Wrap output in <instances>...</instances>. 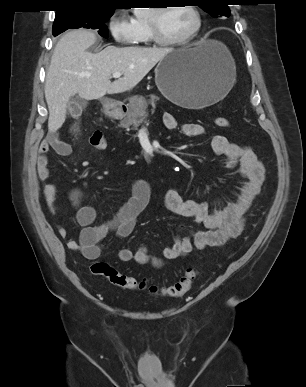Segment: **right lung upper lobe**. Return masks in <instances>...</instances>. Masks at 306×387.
Wrapping results in <instances>:
<instances>
[{
	"instance_id": "1",
	"label": "right lung upper lobe",
	"mask_w": 306,
	"mask_h": 387,
	"mask_svg": "<svg viewBox=\"0 0 306 387\" xmlns=\"http://www.w3.org/2000/svg\"><path fill=\"white\" fill-rule=\"evenodd\" d=\"M116 0H60L57 14L72 9H110L115 10Z\"/></svg>"
}]
</instances>
